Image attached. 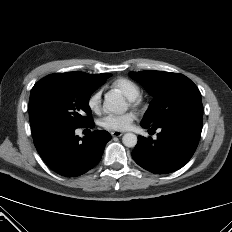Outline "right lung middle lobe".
<instances>
[{"mask_svg":"<svg viewBox=\"0 0 232 232\" xmlns=\"http://www.w3.org/2000/svg\"><path fill=\"white\" fill-rule=\"evenodd\" d=\"M110 74L94 78L84 72L51 74L31 90L29 114L32 132L50 128H84L93 124L88 101Z\"/></svg>","mask_w":232,"mask_h":232,"instance_id":"obj_1","label":"right lung middle lobe"}]
</instances>
